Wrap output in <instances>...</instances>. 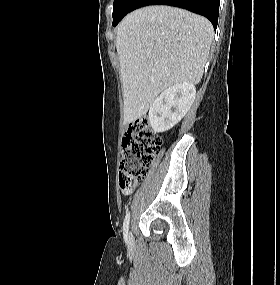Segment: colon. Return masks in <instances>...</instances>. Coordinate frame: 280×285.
Instances as JSON below:
<instances>
[{"label":"colon","mask_w":280,"mask_h":285,"mask_svg":"<svg viewBox=\"0 0 280 285\" xmlns=\"http://www.w3.org/2000/svg\"><path fill=\"white\" fill-rule=\"evenodd\" d=\"M122 144L119 187L123 194L129 195L148 173L162 139L151 129L146 118H139L125 129Z\"/></svg>","instance_id":"colon-1"}]
</instances>
